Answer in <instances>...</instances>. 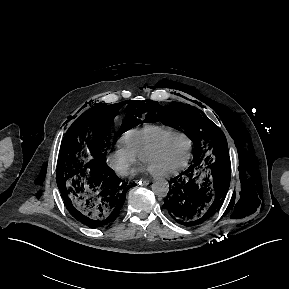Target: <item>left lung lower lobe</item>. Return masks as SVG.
I'll list each match as a JSON object with an SVG mask.
<instances>
[{"mask_svg": "<svg viewBox=\"0 0 289 289\" xmlns=\"http://www.w3.org/2000/svg\"><path fill=\"white\" fill-rule=\"evenodd\" d=\"M209 170L212 176L207 174ZM230 176V165L218 168L193 162L186 171L171 179L165 202L167 213L184 226L207 221L223 204Z\"/></svg>", "mask_w": 289, "mask_h": 289, "instance_id": "left-lung-lower-lobe-1", "label": "left lung lower lobe"}]
</instances>
